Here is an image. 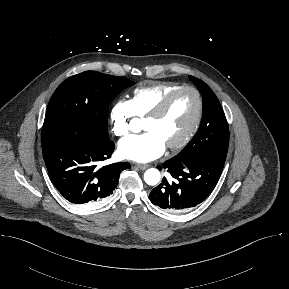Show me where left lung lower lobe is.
Returning a JSON list of instances; mask_svg holds the SVG:
<instances>
[{
    "label": "left lung lower lobe",
    "instance_id": "1",
    "mask_svg": "<svg viewBox=\"0 0 289 289\" xmlns=\"http://www.w3.org/2000/svg\"><path fill=\"white\" fill-rule=\"evenodd\" d=\"M227 153L203 152L185 160L171 158L159 170L167 169L172 179L162 180L150 195L151 202L166 211L177 213L193 209L215 188Z\"/></svg>",
    "mask_w": 289,
    "mask_h": 289
}]
</instances>
